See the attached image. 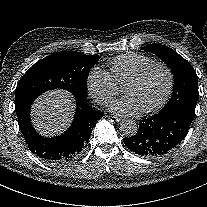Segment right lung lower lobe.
<instances>
[{
	"mask_svg": "<svg viewBox=\"0 0 207 207\" xmlns=\"http://www.w3.org/2000/svg\"><path fill=\"white\" fill-rule=\"evenodd\" d=\"M75 117L70 128L60 136L44 138L40 136L31 124V104L20 106L16 110L19 128L32 153L42 160L62 165L75 160L87 146L96 121L104 113L91 109L86 100H76Z\"/></svg>",
	"mask_w": 207,
	"mask_h": 207,
	"instance_id": "1",
	"label": "right lung lower lobe"
}]
</instances>
